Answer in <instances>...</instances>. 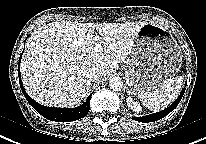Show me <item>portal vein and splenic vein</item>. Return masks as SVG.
Masks as SVG:
<instances>
[{
	"instance_id": "1",
	"label": "portal vein and splenic vein",
	"mask_w": 206,
	"mask_h": 144,
	"mask_svg": "<svg viewBox=\"0 0 206 144\" xmlns=\"http://www.w3.org/2000/svg\"><path fill=\"white\" fill-rule=\"evenodd\" d=\"M95 38L97 39V38H99V36H95ZM94 50H95L96 52H101V51H102V46H101V44H100V43L95 44Z\"/></svg>"
}]
</instances>
